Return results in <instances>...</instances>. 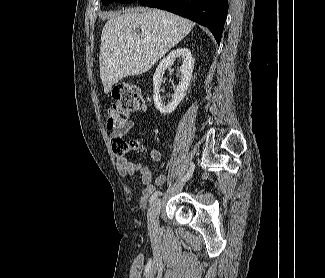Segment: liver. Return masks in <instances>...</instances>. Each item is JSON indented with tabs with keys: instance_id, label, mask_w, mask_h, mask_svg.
I'll return each instance as SVG.
<instances>
[{
	"instance_id": "liver-1",
	"label": "liver",
	"mask_w": 325,
	"mask_h": 278,
	"mask_svg": "<svg viewBox=\"0 0 325 278\" xmlns=\"http://www.w3.org/2000/svg\"><path fill=\"white\" fill-rule=\"evenodd\" d=\"M108 18L101 34L99 55L105 94L121 79L151 69L195 25L173 13L142 7L123 14L111 13Z\"/></svg>"
}]
</instances>
